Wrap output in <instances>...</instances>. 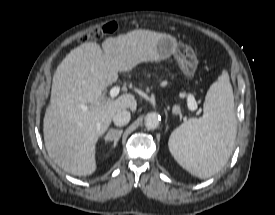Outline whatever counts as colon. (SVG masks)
Returning <instances> with one entry per match:
<instances>
[{
    "mask_svg": "<svg viewBox=\"0 0 275 215\" xmlns=\"http://www.w3.org/2000/svg\"><path fill=\"white\" fill-rule=\"evenodd\" d=\"M117 29L115 22H108L101 27L93 29L91 32L80 36L81 41L93 40L97 41L106 35L112 34Z\"/></svg>",
    "mask_w": 275,
    "mask_h": 215,
    "instance_id": "1",
    "label": "colon"
}]
</instances>
